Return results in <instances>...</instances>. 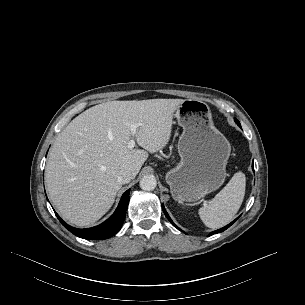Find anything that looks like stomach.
I'll return each mask as SVG.
<instances>
[{
	"instance_id": "stomach-1",
	"label": "stomach",
	"mask_w": 305,
	"mask_h": 305,
	"mask_svg": "<svg viewBox=\"0 0 305 305\" xmlns=\"http://www.w3.org/2000/svg\"><path fill=\"white\" fill-rule=\"evenodd\" d=\"M175 117L183 128L178 142L181 161L166 173L165 179L176 201L194 202L224 183L231 146L214 126L205 102L184 100Z\"/></svg>"
}]
</instances>
